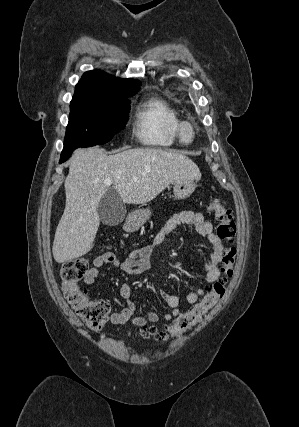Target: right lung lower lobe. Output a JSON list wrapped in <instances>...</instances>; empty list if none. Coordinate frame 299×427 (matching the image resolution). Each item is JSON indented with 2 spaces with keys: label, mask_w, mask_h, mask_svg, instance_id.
<instances>
[{
  "label": "right lung lower lobe",
  "mask_w": 299,
  "mask_h": 427,
  "mask_svg": "<svg viewBox=\"0 0 299 427\" xmlns=\"http://www.w3.org/2000/svg\"><path fill=\"white\" fill-rule=\"evenodd\" d=\"M73 151L67 152V153H61L60 162H65L72 154Z\"/></svg>",
  "instance_id": "right-lung-lower-lobe-1"
}]
</instances>
